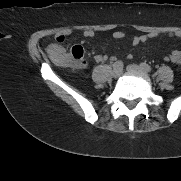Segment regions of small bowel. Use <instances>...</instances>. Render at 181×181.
<instances>
[{
    "mask_svg": "<svg viewBox=\"0 0 181 181\" xmlns=\"http://www.w3.org/2000/svg\"><path fill=\"white\" fill-rule=\"evenodd\" d=\"M65 35L66 34H59L57 37L65 36ZM85 36L88 37V38H92L94 36V33L92 31H87L85 33ZM125 36H126V33L122 32V31H116L113 34V37L116 38V39H121V38H124ZM170 36H176V37L181 38L180 33L171 34ZM152 37H154V34H151V33L146 34V35L134 36L132 38V43L134 45H137V44H140V43H146ZM107 59H108V56L106 54L96 56V61H105ZM167 59L171 60L173 63H176V64L180 65L181 64V51H178V50L173 51Z\"/></svg>",
    "mask_w": 181,
    "mask_h": 181,
    "instance_id": "1",
    "label": "small bowel"
}]
</instances>
